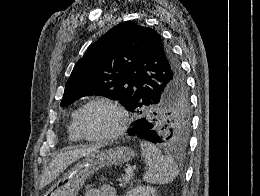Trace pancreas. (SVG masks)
Instances as JSON below:
<instances>
[{"label": "pancreas", "instance_id": "cf45deb5", "mask_svg": "<svg viewBox=\"0 0 260 196\" xmlns=\"http://www.w3.org/2000/svg\"><path fill=\"white\" fill-rule=\"evenodd\" d=\"M131 178L128 174H122L121 178H119V186L120 188H126L127 184H129Z\"/></svg>", "mask_w": 260, "mask_h": 196}]
</instances>
